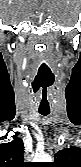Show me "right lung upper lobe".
Instances as JSON below:
<instances>
[{
	"instance_id": "cb5924a9",
	"label": "right lung upper lobe",
	"mask_w": 81,
	"mask_h": 167,
	"mask_svg": "<svg viewBox=\"0 0 81 167\" xmlns=\"http://www.w3.org/2000/svg\"><path fill=\"white\" fill-rule=\"evenodd\" d=\"M24 144L16 137L12 142L0 145V167H28L24 162Z\"/></svg>"
}]
</instances>
